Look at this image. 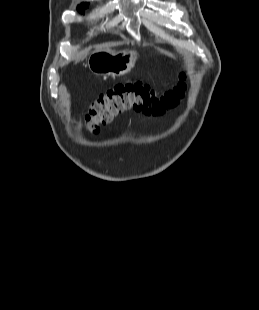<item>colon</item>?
I'll use <instances>...</instances> for the list:
<instances>
[{
    "instance_id": "obj_1",
    "label": "colon",
    "mask_w": 259,
    "mask_h": 310,
    "mask_svg": "<svg viewBox=\"0 0 259 310\" xmlns=\"http://www.w3.org/2000/svg\"><path fill=\"white\" fill-rule=\"evenodd\" d=\"M181 84L171 90L160 92L141 82L116 84L95 100L86 116V125L95 132L118 114L135 110L147 114H159L175 106L184 93Z\"/></svg>"
}]
</instances>
